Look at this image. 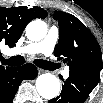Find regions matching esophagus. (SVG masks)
Wrapping results in <instances>:
<instances>
[{
    "mask_svg": "<svg viewBox=\"0 0 103 103\" xmlns=\"http://www.w3.org/2000/svg\"><path fill=\"white\" fill-rule=\"evenodd\" d=\"M43 72H44V70H43V69L38 68V73H39V74H41V73H43Z\"/></svg>",
    "mask_w": 103,
    "mask_h": 103,
    "instance_id": "obj_1",
    "label": "esophagus"
}]
</instances>
